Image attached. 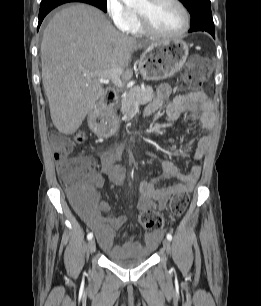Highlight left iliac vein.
Here are the masks:
<instances>
[{"instance_id":"1","label":"left iliac vein","mask_w":261,"mask_h":306,"mask_svg":"<svg viewBox=\"0 0 261 306\" xmlns=\"http://www.w3.org/2000/svg\"><path fill=\"white\" fill-rule=\"evenodd\" d=\"M162 243H163L164 250L168 253L170 251V248H171L170 241L168 239H164Z\"/></svg>"}]
</instances>
